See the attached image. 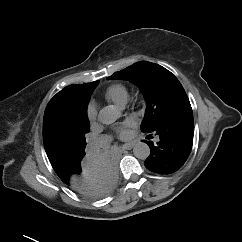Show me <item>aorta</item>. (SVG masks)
Instances as JSON below:
<instances>
[{"mask_svg":"<svg viewBox=\"0 0 242 242\" xmlns=\"http://www.w3.org/2000/svg\"><path fill=\"white\" fill-rule=\"evenodd\" d=\"M120 116V110L110 105L99 111L98 121L104 125H109L114 123ZM133 154L138 159L146 160L150 156V147L146 143L138 142L133 147Z\"/></svg>","mask_w":242,"mask_h":242,"instance_id":"aorta-1","label":"aorta"}]
</instances>
